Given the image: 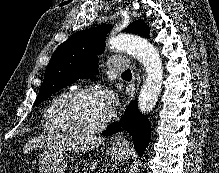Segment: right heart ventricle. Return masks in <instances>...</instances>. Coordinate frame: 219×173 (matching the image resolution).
Here are the masks:
<instances>
[{"label": "right heart ventricle", "mask_w": 219, "mask_h": 173, "mask_svg": "<svg viewBox=\"0 0 219 173\" xmlns=\"http://www.w3.org/2000/svg\"><path fill=\"white\" fill-rule=\"evenodd\" d=\"M66 93L67 91H61L55 94L50 99L44 110V131L48 134L58 136H65L69 134V132L62 127L58 119V105Z\"/></svg>", "instance_id": "1"}]
</instances>
